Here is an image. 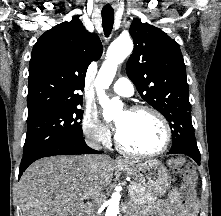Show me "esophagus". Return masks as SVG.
<instances>
[{
    "mask_svg": "<svg viewBox=\"0 0 221 216\" xmlns=\"http://www.w3.org/2000/svg\"><path fill=\"white\" fill-rule=\"evenodd\" d=\"M115 163H116L117 165H124V164H125L124 160L119 159V158H117V159L115 160Z\"/></svg>",
    "mask_w": 221,
    "mask_h": 216,
    "instance_id": "1",
    "label": "esophagus"
}]
</instances>
